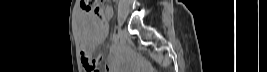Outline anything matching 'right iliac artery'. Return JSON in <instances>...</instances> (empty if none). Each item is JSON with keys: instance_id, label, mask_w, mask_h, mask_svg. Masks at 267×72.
Returning <instances> with one entry per match:
<instances>
[{"instance_id": "obj_1", "label": "right iliac artery", "mask_w": 267, "mask_h": 72, "mask_svg": "<svg viewBox=\"0 0 267 72\" xmlns=\"http://www.w3.org/2000/svg\"><path fill=\"white\" fill-rule=\"evenodd\" d=\"M118 39H119V36L117 35V34H113V40L116 42V41H118Z\"/></svg>"}]
</instances>
